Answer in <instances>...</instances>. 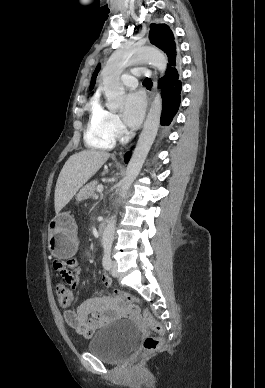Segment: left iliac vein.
<instances>
[{
	"label": "left iliac vein",
	"mask_w": 265,
	"mask_h": 388,
	"mask_svg": "<svg viewBox=\"0 0 265 388\" xmlns=\"http://www.w3.org/2000/svg\"><path fill=\"white\" fill-rule=\"evenodd\" d=\"M118 265H117V262L116 261H112V264H111V274L113 277H117L118 276Z\"/></svg>",
	"instance_id": "4c4485c4"
}]
</instances>
